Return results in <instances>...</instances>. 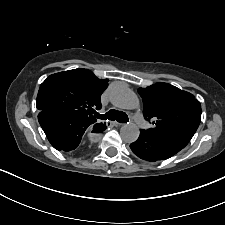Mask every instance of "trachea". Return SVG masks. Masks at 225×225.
<instances>
[{"label":"trachea","mask_w":225,"mask_h":225,"mask_svg":"<svg viewBox=\"0 0 225 225\" xmlns=\"http://www.w3.org/2000/svg\"><path fill=\"white\" fill-rule=\"evenodd\" d=\"M93 114L96 118L101 120H117L119 123H127L129 121L126 113L115 109H111L105 114H99L98 112L94 111Z\"/></svg>","instance_id":"obj_1"}]
</instances>
